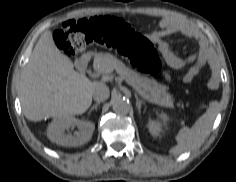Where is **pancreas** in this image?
<instances>
[{"mask_svg": "<svg viewBox=\"0 0 236 182\" xmlns=\"http://www.w3.org/2000/svg\"><path fill=\"white\" fill-rule=\"evenodd\" d=\"M94 67L103 72L109 73L113 69L122 77L134 81L142 90L148 92L152 98L163 106L172 107V96L167 92L165 85L159 84L156 80L142 76L139 73L125 66L111 54L98 53L94 57Z\"/></svg>", "mask_w": 236, "mask_h": 182, "instance_id": "1", "label": "pancreas"}]
</instances>
